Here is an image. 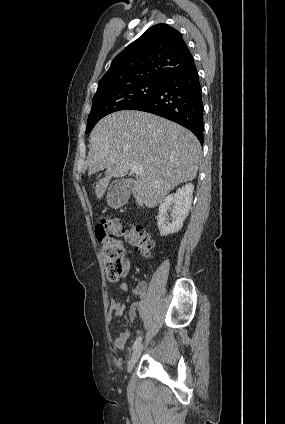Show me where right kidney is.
Listing matches in <instances>:
<instances>
[{"label":"right kidney","instance_id":"1","mask_svg":"<svg viewBox=\"0 0 285 424\" xmlns=\"http://www.w3.org/2000/svg\"><path fill=\"white\" fill-rule=\"evenodd\" d=\"M194 186L191 183L179 188L176 193L168 195L164 198L159 207L157 216V225L161 236H167L181 230L183 222L189 214V210L193 201ZM173 205L172 217L173 221L168 223L167 209Z\"/></svg>","mask_w":285,"mask_h":424}]
</instances>
